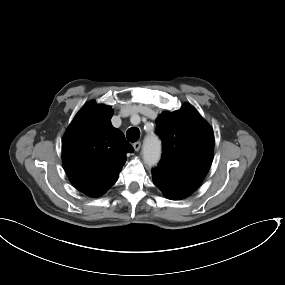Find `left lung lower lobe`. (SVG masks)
Instances as JSON below:
<instances>
[{
    "instance_id": "obj_1",
    "label": "left lung lower lobe",
    "mask_w": 285,
    "mask_h": 285,
    "mask_svg": "<svg viewBox=\"0 0 285 285\" xmlns=\"http://www.w3.org/2000/svg\"><path fill=\"white\" fill-rule=\"evenodd\" d=\"M154 184L172 200L183 199L191 195L197 188L198 184L176 179L157 169L152 170Z\"/></svg>"
}]
</instances>
